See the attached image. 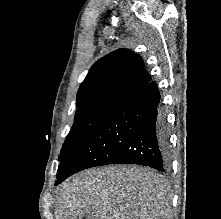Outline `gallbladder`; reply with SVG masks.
Instances as JSON below:
<instances>
[{"mask_svg": "<svg viewBox=\"0 0 221 219\" xmlns=\"http://www.w3.org/2000/svg\"><path fill=\"white\" fill-rule=\"evenodd\" d=\"M83 219H92V217L89 216V215H86V216L83 217Z\"/></svg>", "mask_w": 221, "mask_h": 219, "instance_id": "obj_1", "label": "gallbladder"}]
</instances>
